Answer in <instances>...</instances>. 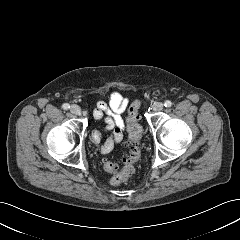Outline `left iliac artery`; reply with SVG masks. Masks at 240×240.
Listing matches in <instances>:
<instances>
[{"mask_svg":"<svg viewBox=\"0 0 240 240\" xmlns=\"http://www.w3.org/2000/svg\"><path fill=\"white\" fill-rule=\"evenodd\" d=\"M164 106H165V107H171V106H172V102L169 101V100H166V101L164 102Z\"/></svg>","mask_w":240,"mask_h":240,"instance_id":"obj_1","label":"left iliac artery"}]
</instances>
